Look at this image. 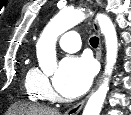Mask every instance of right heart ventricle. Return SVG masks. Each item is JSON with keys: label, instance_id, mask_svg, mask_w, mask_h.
I'll list each match as a JSON object with an SVG mask.
<instances>
[{"label": "right heart ventricle", "instance_id": "obj_1", "mask_svg": "<svg viewBox=\"0 0 131 115\" xmlns=\"http://www.w3.org/2000/svg\"><path fill=\"white\" fill-rule=\"evenodd\" d=\"M39 72L40 71L35 67L28 66L23 75L22 87L27 97L31 100H38L42 98V94L39 92L36 86V80Z\"/></svg>", "mask_w": 131, "mask_h": 115}]
</instances>
